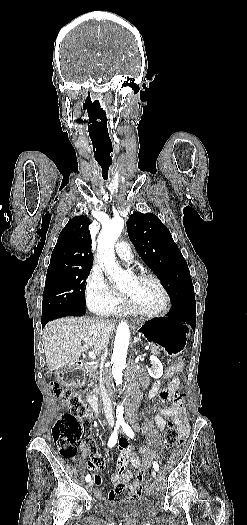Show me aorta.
Masks as SVG:
<instances>
[{
	"label": "aorta",
	"mask_w": 247,
	"mask_h": 525,
	"mask_svg": "<svg viewBox=\"0 0 247 525\" xmlns=\"http://www.w3.org/2000/svg\"><path fill=\"white\" fill-rule=\"evenodd\" d=\"M124 228V220L121 217H114L107 224H105L98 237V256L104 265L107 274L113 279L117 287H123L128 281L129 275L122 270L116 262L114 254V244ZM130 341V329L125 321H121L118 325L114 349L112 354V375L116 385L122 383L123 370L126 367L127 349ZM124 415V408L118 405L116 408V418L118 422H122Z\"/></svg>",
	"instance_id": "762f6f07"
}]
</instances>
